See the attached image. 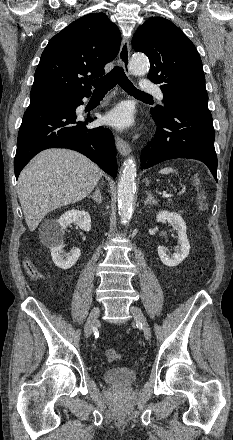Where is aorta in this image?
Masks as SVG:
<instances>
[{
    "label": "aorta",
    "mask_w": 233,
    "mask_h": 440,
    "mask_svg": "<svg viewBox=\"0 0 233 440\" xmlns=\"http://www.w3.org/2000/svg\"><path fill=\"white\" fill-rule=\"evenodd\" d=\"M129 68L133 75L143 76L149 71V60L144 54H134ZM136 172V161L130 156L124 161L118 183V212L123 223H126L132 214Z\"/></svg>",
    "instance_id": "aorta-1"
}]
</instances>
